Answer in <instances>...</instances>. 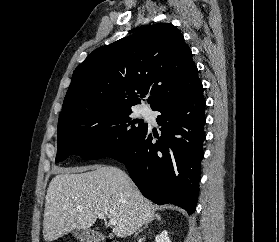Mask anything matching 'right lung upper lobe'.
<instances>
[{
  "label": "right lung upper lobe",
  "instance_id": "1",
  "mask_svg": "<svg viewBox=\"0 0 279 242\" xmlns=\"http://www.w3.org/2000/svg\"><path fill=\"white\" fill-rule=\"evenodd\" d=\"M192 52L170 23L99 47L75 69L58 124L131 110L151 92L152 110L201 86Z\"/></svg>",
  "mask_w": 279,
  "mask_h": 242
}]
</instances>
